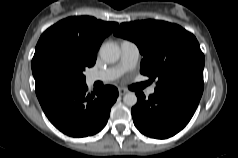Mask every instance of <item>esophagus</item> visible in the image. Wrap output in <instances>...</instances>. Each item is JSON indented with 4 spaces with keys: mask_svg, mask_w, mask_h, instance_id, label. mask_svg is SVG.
<instances>
[{
    "mask_svg": "<svg viewBox=\"0 0 238 158\" xmlns=\"http://www.w3.org/2000/svg\"><path fill=\"white\" fill-rule=\"evenodd\" d=\"M118 91H119V95H121V96L127 93V90H125L123 88H119Z\"/></svg>",
    "mask_w": 238,
    "mask_h": 158,
    "instance_id": "obj_1",
    "label": "esophagus"
}]
</instances>
